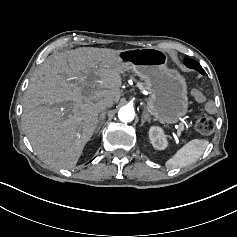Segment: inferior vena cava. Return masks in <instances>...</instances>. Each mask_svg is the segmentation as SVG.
<instances>
[{
  "instance_id": "obj_1",
  "label": "inferior vena cava",
  "mask_w": 237,
  "mask_h": 237,
  "mask_svg": "<svg viewBox=\"0 0 237 237\" xmlns=\"http://www.w3.org/2000/svg\"><path fill=\"white\" fill-rule=\"evenodd\" d=\"M113 104H114V102L111 99H102L101 102H100V106L103 110L105 108L112 107Z\"/></svg>"
}]
</instances>
